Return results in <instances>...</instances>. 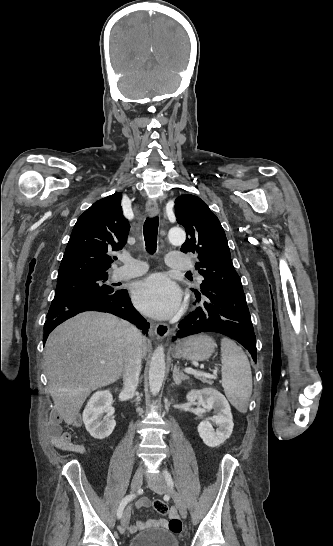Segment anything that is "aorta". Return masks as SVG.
Returning <instances> with one entry per match:
<instances>
[{
    "mask_svg": "<svg viewBox=\"0 0 333 546\" xmlns=\"http://www.w3.org/2000/svg\"><path fill=\"white\" fill-rule=\"evenodd\" d=\"M186 238L184 230L181 228H171L168 231V241L175 245H181ZM165 354L164 348L158 346L153 353L149 368V388L152 394H157L163 384L165 376Z\"/></svg>",
    "mask_w": 333,
    "mask_h": 546,
    "instance_id": "obj_1",
    "label": "aorta"
}]
</instances>
